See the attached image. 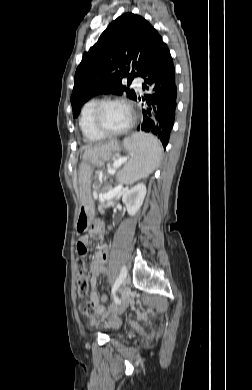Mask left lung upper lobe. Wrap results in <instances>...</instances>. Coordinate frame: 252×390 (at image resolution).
Listing matches in <instances>:
<instances>
[{"label":"left lung upper lobe","mask_w":252,"mask_h":390,"mask_svg":"<svg viewBox=\"0 0 252 390\" xmlns=\"http://www.w3.org/2000/svg\"><path fill=\"white\" fill-rule=\"evenodd\" d=\"M162 38L143 17L125 13L112 21L97 43L83 54L74 80L71 96L73 116L97 94L112 93L136 100L128 85L134 77L142 76L156 55Z\"/></svg>","instance_id":"left-lung-upper-lobe-1"}]
</instances>
